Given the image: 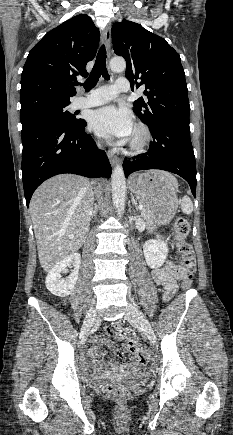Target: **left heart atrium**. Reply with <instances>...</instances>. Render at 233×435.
Listing matches in <instances>:
<instances>
[{
	"instance_id": "1",
	"label": "left heart atrium",
	"mask_w": 233,
	"mask_h": 435,
	"mask_svg": "<svg viewBox=\"0 0 233 435\" xmlns=\"http://www.w3.org/2000/svg\"><path fill=\"white\" fill-rule=\"evenodd\" d=\"M89 125L93 131L107 139L122 141L133 133L131 114L122 105H108L93 111Z\"/></svg>"
}]
</instances>
